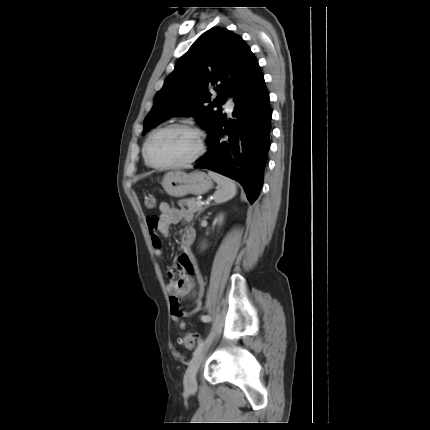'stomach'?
<instances>
[{
    "instance_id": "stomach-1",
    "label": "stomach",
    "mask_w": 430,
    "mask_h": 430,
    "mask_svg": "<svg viewBox=\"0 0 430 430\" xmlns=\"http://www.w3.org/2000/svg\"><path fill=\"white\" fill-rule=\"evenodd\" d=\"M211 178L203 171L186 173L184 171L167 172L162 180V187L172 197L188 194L201 195L212 188Z\"/></svg>"
}]
</instances>
